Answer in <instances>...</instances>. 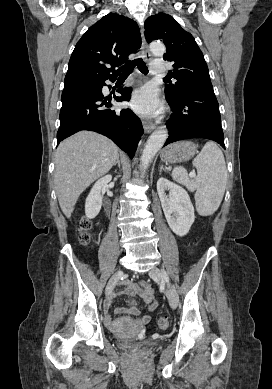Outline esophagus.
Returning <instances> with one entry per match:
<instances>
[{"label": "esophagus", "mask_w": 272, "mask_h": 389, "mask_svg": "<svg viewBox=\"0 0 272 389\" xmlns=\"http://www.w3.org/2000/svg\"><path fill=\"white\" fill-rule=\"evenodd\" d=\"M141 36H142V46H141L142 53H143L144 59L146 61H149L151 59V54H150V51H149L148 44H147V42L145 40L144 30L143 29H141ZM143 127H144L145 131L147 133H149V132H151L152 130H154L156 128V124L145 121V122H143Z\"/></svg>", "instance_id": "34e87169"}]
</instances>
